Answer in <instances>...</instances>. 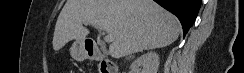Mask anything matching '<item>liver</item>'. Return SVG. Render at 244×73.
Here are the masks:
<instances>
[{
	"label": "liver",
	"instance_id": "1",
	"mask_svg": "<svg viewBox=\"0 0 244 73\" xmlns=\"http://www.w3.org/2000/svg\"><path fill=\"white\" fill-rule=\"evenodd\" d=\"M84 22L114 37L109 46L113 58L166 47L181 31L178 19L153 0H67L55 25L53 49L73 39L84 41L89 34Z\"/></svg>",
	"mask_w": 244,
	"mask_h": 73
}]
</instances>
